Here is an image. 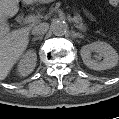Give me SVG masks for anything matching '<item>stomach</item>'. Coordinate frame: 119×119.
Wrapping results in <instances>:
<instances>
[{"label":"stomach","instance_id":"obj_1","mask_svg":"<svg viewBox=\"0 0 119 119\" xmlns=\"http://www.w3.org/2000/svg\"><path fill=\"white\" fill-rule=\"evenodd\" d=\"M50 1H53V0H37V2H50Z\"/></svg>","mask_w":119,"mask_h":119}]
</instances>
